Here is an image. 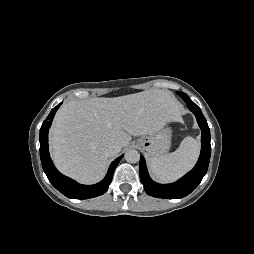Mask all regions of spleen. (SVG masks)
Wrapping results in <instances>:
<instances>
[{"instance_id": "spleen-1", "label": "spleen", "mask_w": 254, "mask_h": 254, "mask_svg": "<svg viewBox=\"0 0 254 254\" xmlns=\"http://www.w3.org/2000/svg\"><path fill=\"white\" fill-rule=\"evenodd\" d=\"M199 152V141L187 136L174 152L150 158L148 160L149 169L161 181L173 182L195 165Z\"/></svg>"}]
</instances>
